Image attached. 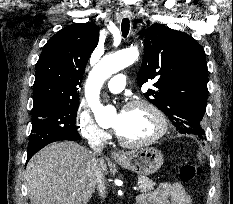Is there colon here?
Listing matches in <instances>:
<instances>
[{
  "instance_id": "5ec220e1",
  "label": "colon",
  "mask_w": 233,
  "mask_h": 204,
  "mask_svg": "<svg viewBox=\"0 0 233 204\" xmlns=\"http://www.w3.org/2000/svg\"><path fill=\"white\" fill-rule=\"evenodd\" d=\"M203 174V169L197 164H183L178 168V177L182 182H190Z\"/></svg>"
}]
</instances>
